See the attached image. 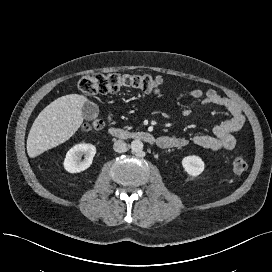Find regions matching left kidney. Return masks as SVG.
Here are the masks:
<instances>
[{
    "instance_id": "1",
    "label": "left kidney",
    "mask_w": 272,
    "mask_h": 272,
    "mask_svg": "<svg viewBox=\"0 0 272 272\" xmlns=\"http://www.w3.org/2000/svg\"><path fill=\"white\" fill-rule=\"evenodd\" d=\"M182 166L188 175L197 177L205 168L203 160L196 155L186 156L182 159Z\"/></svg>"
}]
</instances>
